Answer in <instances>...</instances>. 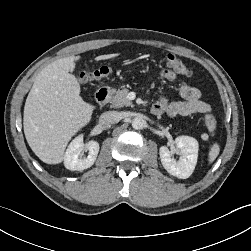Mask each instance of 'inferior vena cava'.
<instances>
[{
    "label": "inferior vena cava",
    "instance_id": "obj_1",
    "mask_svg": "<svg viewBox=\"0 0 251 251\" xmlns=\"http://www.w3.org/2000/svg\"><path fill=\"white\" fill-rule=\"evenodd\" d=\"M119 122V116L114 111H107L100 115L99 123L102 125H111Z\"/></svg>",
    "mask_w": 251,
    "mask_h": 251
}]
</instances>
